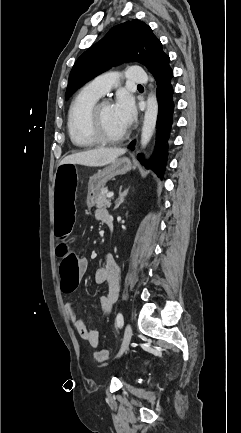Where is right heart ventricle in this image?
I'll use <instances>...</instances> for the list:
<instances>
[{
	"label": "right heart ventricle",
	"mask_w": 241,
	"mask_h": 433,
	"mask_svg": "<svg viewBox=\"0 0 241 433\" xmlns=\"http://www.w3.org/2000/svg\"><path fill=\"white\" fill-rule=\"evenodd\" d=\"M99 96L83 88L73 100L68 113V132L72 144L81 149L97 145L88 128V120L93 105Z\"/></svg>",
	"instance_id": "obj_1"
}]
</instances>
